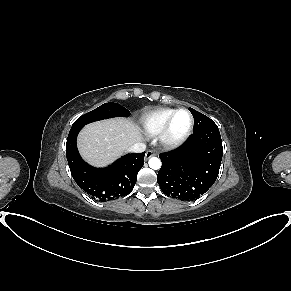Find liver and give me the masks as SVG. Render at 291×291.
Returning <instances> with one entry per match:
<instances>
[{
	"label": "liver",
	"mask_w": 291,
	"mask_h": 291,
	"mask_svg": "<svg viewBox=\"0 0 291 291\" xmlns=\"http://www.w3.org/2000/svg\"><path fill=\"white\" fill-rule=\"evenodd\" d=\"M142 140L141 129L132 120L114 118L86 125L78 136V148L86 161L105 166Z\"/></svg>",
	"instance_id": "1"
}]
</instances>
